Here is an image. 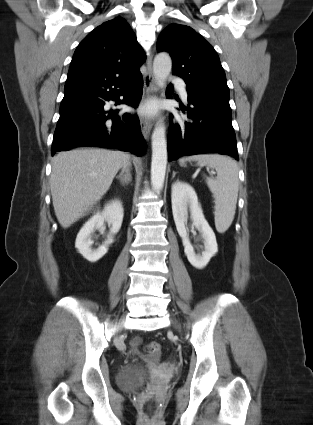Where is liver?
<instances>
[{"mask_svg":"<svg viewBox=\"0 0 313 425\" xmlns=\"http://www.w3.org/2000/svg\"><path fill=\"white\" fill-rule=\"evenodd\" d=\"M130 155L106 149L60 152L52 161L50 187L53 207L63 228L85 216L108 191Z\"/></svg>","mask_w":313,"mask_h":425,"instance_id":"liver-1","label":"liver"}]
</instances>
